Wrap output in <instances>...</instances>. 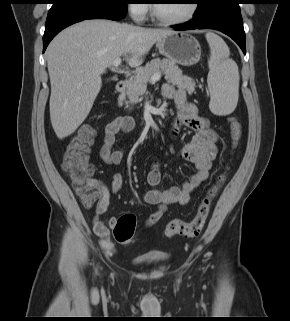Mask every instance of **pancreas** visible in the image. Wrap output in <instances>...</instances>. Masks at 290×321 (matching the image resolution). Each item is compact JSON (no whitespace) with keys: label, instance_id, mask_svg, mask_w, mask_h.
<instances>
[{"label":"pancreas","instance_id":"obj_1","mask_svg":"<svg viewBox=\"0 0 290 321\" xmlns=\"http://www.w3.org/2000/svg\"><path fill=\"white\" fill-rule=\"evenodd\" d=\"M162 71L165 75V79L176 85L178 88L186 89L191 94L195 91V82L191 77L182 74V70L171 60L168 59H153L147 63L143 68L137 70L136 74L128 81L127 91L124 95H121L118 99L119 106L123 105V102L127 105L134 104L139 100L147 88V82L151 77ZM126 97L128 101H126Z\"/></svg>","mask_w":290,"mask_h":321}]
</instances>
